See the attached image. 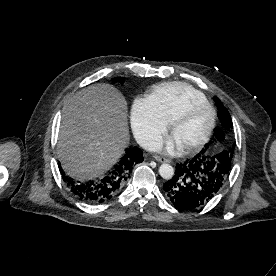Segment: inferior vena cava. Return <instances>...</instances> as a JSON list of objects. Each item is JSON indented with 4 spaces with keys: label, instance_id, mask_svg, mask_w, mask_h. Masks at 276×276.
<instances>
[{
    "label": "inferior vena cava",
    "instance_id": "602c4592",
    "mask_svg": "<svg viewBox=\"0 0 276 276\" xmlns=\"http://www.w3.org/2000/svg\"><path fill=\"white\" fill-rule=\"evenodd\" d=\"M140 146L147 151H159L162 149L163 142L159 136H147L139 140Z\"/></svg>",
    "mask_w": 276,
    "mask_h": 276
}]
</instances>
